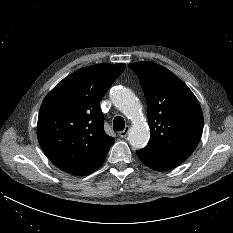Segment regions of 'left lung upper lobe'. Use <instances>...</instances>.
I'll list each match as a JSON object with an SVG mask.
<instances>
[{
    "label": "left lung upper lobe",
    "instance_id": "5c2ea615",
    "mask_svg": "<svg viewBox=\"0 0 233 233\" xmlns=\"http://www.w3.org/2000/svg\"><path fill=\"white\" fill-rule=\"evenodd\" d=\"M145 93L150 140L146 148L189 156L203 130V113L192 91L175 74L153 62L128 65Z\"/></svg>",
    "mask_w": 233,
    "mask_h": 233
}]
</instances>
